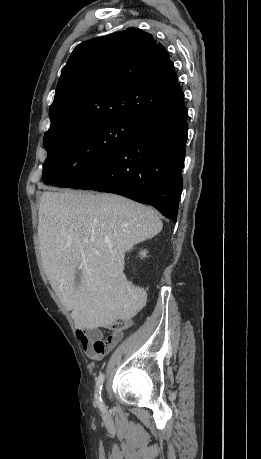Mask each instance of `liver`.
<instances>
[{
	"mask_svg": "<svg viewBox=\"0 0 261 459\" xmlns=\"http://www.w3.org/2000/svg\"><path fill=\"white\" fill-rule=\"evenodd\" d=\"M162 227L152 208L116 194L66 190L41 195L42 263L49 283L62 304L73 311L78 327H105L131 314L136 290L123 273L125 253L156 236ZM78 269L82 275L76 286Z\"/></svg>",
	"mask_w": 261,
	"mask_h": 459,
	"instance_id": "6515ba94",
	"label": "liver"
}]
</instances>
